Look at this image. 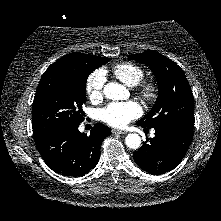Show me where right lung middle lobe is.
Returning a JSON list of instances; mask_svg holds the SVG:
<instances>
[{"label":"right lung middle lobe","instance_id":"dd1d6c3e","mask_svg":"<svg viewBox=\"0 0 221 221\" xmlns=\"http://www.w3.org/2000/svg\"><path fill=\"white\" fill-rule=\"evenodd\" d=\"M109 60L104 58L96 65L84 64L78 68L46 70L33 101L32 128L35 141L83 121L82 105L86 102L87 77Z\"/></svg>","mask_w":221,"mask_h":221}]
</instances>
